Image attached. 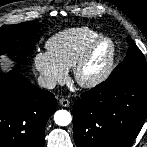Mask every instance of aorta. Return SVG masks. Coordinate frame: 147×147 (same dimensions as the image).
Here are the masks:
<instances>
[{
  "label": "aorta",
  "instance_id": "obj_1",
  "mask_svg": "<svg viewBox=\"0 0 147 147\" xmlns=\"http://www.w3.org/2000/svg\"><path fill=\"white\" fill-rule=\"evenodd\" d=\"M72 117L67 110H58L54 114V121L59 126H67L71 123Z\"/></svg>",
  "mask_w": 147,
  "mask_h": 147
}]
</instances>
